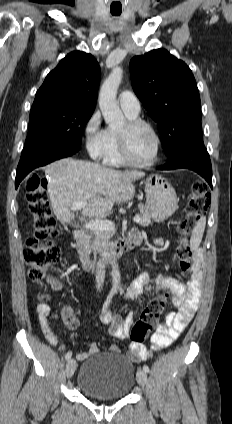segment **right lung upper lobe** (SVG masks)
I'll list each match as a JSON object with an SVG mask.
<instances>
[{"mask_svg":"<svg viewBox=\"0 0 232 424\" xmlns=\"http://www.w3.org/2000/svg\"><path fill=\"white\" fill-rule=\"evenodd\" d=\"M100 77V66L91 54L71 52L46 76L32 109L69 105L94 110Z\"/></svg>","mask_w":232,"mask_h":424,"instance_id":"right-lung-upper-lobe-1","label":"right lung upper lobe"}]
</instances>
